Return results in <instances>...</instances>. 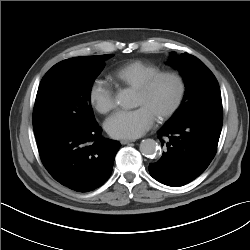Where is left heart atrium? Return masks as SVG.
I'll use <instances>...</instances> for the list:
<instances>
[{"label": "left heart atrium", "mask_w": 250, "mask_h": 250, "mask_svg": "<svg viewBox=\"0 0 250 250\" xmlns=\"http://www.w3.org/2000/svg\"><path fill=\"white\" fill-rule=\"evenodd\" d=\"M155 117L144 106L133 110H120L105 122L109 135L120 139H135L142 136L153 125Z\"/></svg>", "instance_id": "39dd6f15"}]
</instances>
